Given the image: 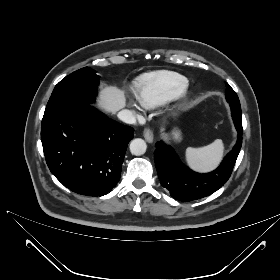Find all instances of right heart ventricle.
Wrapping results in <instances>:
<instances>
[{
	"label": "right heart ventricle",
	"mask_w": 280,
	"mask_h": 280,
	"mask_svg": "<svg viewBox=\"0 0 280 280\" xmlns=\"http://www.w3.org/2000/svg\"><path fill=\"white\" fill-rule=\"evenodd\" d=\"M187 86V78L177 72H150L137 78L136 97L142 106L155 108L178 96Z\"/></svg>",
	"instance_id": "right-heart-ventricle-1"
}]
</instances>
